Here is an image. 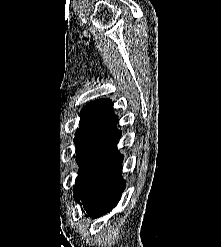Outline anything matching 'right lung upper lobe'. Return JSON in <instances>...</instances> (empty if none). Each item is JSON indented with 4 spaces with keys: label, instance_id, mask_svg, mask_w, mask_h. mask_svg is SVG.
<instances>
[{
    "label": "right lung upper lobe",
    "instance_id": "right-lung-upper-lobe-1",
    "mask_svg": "<svg viewBox=\"0 0 221 247\" xmlns=\"http://www.w3.org/2000/svg\"><path fill=\"white\" fill-rule=\"evenodd\" d=\"M112 107V101L107 98L87 104L80 114L81 120L78 131H85L116 120L117 116L112 114Z\"/></svg>",
    "mask_w": 221,
    "mask_h": 247
}]
</instances>
